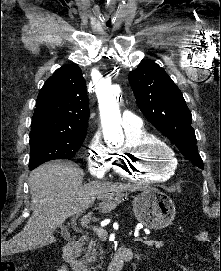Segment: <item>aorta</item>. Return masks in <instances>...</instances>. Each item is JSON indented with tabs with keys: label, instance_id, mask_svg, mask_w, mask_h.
Listing matches in <instances>:
<instances>
[{
	"label": "aorta",
	"instance_id": "aorta-1",
	"mask_svg": "<svg viewBox=\"0 0 221 271\" xmlns=\"http://www.w3.org/2000/svg\"><path fill=\"white\" fill-rule=\"evenodd\" d=\"M121 89L118 85H113L110 90L103 93L99 99L100 115L103 129L121 132V115L117 103V97Z\"/></svg>",
	"mask_w": 221,
	"mask_h": 271
}]
</instances>
